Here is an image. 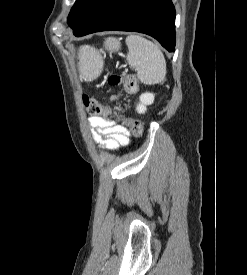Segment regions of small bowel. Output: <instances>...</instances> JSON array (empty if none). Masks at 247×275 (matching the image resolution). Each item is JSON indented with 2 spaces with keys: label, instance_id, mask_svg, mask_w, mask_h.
Instances as JSON below:
<instances>
[{
  "label": "small bowel",
  "instance_id": "c3829d8e",
  "mask_svg": "<svg viewBox=\"0 0 247 275\" xmlns=\"http://www.w3.org/2000/svg\"><path fill=\"white\" fill-rule=\"evenodd\" d=\"M88 121L100 148L113 151L129 144V131L115 121L100 115H92Z\"/></svg>",
  "mask_w": 247,
  "mask_h": 275
}]
</instances>
